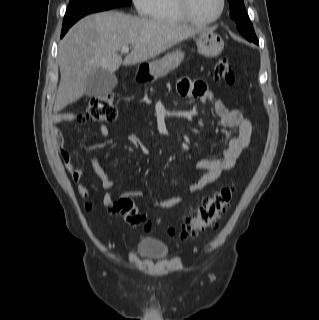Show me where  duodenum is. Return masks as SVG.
Returning <instances> with one entry per match:
<instances>
[{
    "instance_id": "duodenum-1",
    "label": "duodenum",
    "mask_w": 319,
    "mask_h": 320,
    "mask_svg": "<svg viewBox=\"0 0 319 320\" xmlns=\"http://www.w3.org/2000/svg\"><path fill=\"white\" fill-rule=\"evenodd\" d=\"M141 78H142V79H145V78H146V75H144V76H141Z\"/></svg>"
}]
</instances>
